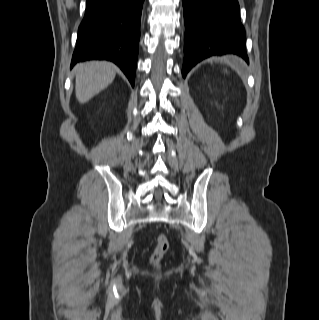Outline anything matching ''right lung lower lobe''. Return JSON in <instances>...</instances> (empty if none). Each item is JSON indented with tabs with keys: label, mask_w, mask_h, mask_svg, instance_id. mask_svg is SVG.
Instances as JSON below:
<instances>
[{
	"label": "right lung lower lobe",
	"mask_w": 319,
	"mask_h": 320,
	"mask_svg": "<svg viewBox=\"0 0 319 320\" xmlns=\"http://www.w3.org/2000/svg\"><path fill=\"white\" fill-rule=\"evenodd\" d=\"M143 2L87 0L71 67L84 60H110L134 86Z\"/></svg>",
	"instance_id": "1"
}]
</instances>
